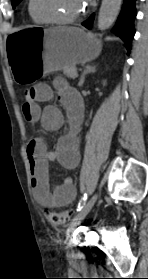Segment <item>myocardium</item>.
<instances>
[{
    "label": "myocardium",
    "mask_w": 148,
    "mask_h": 279,
    "mask_svg": "<svg viewBox=\"0 0 148 279\" xmlns=\"http://www.w3.org/2000/svg\"><path fill=\"white\" fill-rule=\"evenodd\" d=\"M30 11H31V14L38 20H40L44 23H50V24H56V25H69V24L76 23L79 20H81L84 15V8L82 9V11L79 14H77L73 17H69V18H55V17L42 15L36 9V0H30Z\"/></svg>",
    "instance_id": "obj_1"
}]
</instances>
